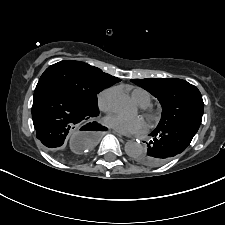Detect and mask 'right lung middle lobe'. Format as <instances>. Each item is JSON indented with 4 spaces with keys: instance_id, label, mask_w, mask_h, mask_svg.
Masks as SVG:
<instances>
[{
    "instance_id": "right-lung-middle-lobe-1",
    "label": "right lung middle lobe",
    "mask_w": 225,
    "mask_h": 225,
    "mask_svg": "<svg viewBox=\"0 0 225 225\" xmlns=\"http://www.w3.org/2000/svg\"><path fill=\"white\" fill-rule=\"evenodd\" d=\"M39 81L53 83L87 110L99 114L97 94L113 83L96 67L64 60L49 66Z\"/></svg>"
}]
</instances>
